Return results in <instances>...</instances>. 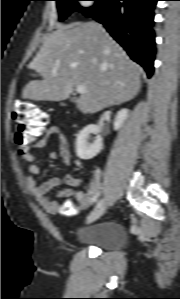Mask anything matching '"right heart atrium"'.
I'll use <instances>...</instances> for the list:
<instances>
[{
  "mask_svg": "<svg viewBox=\"0 0 180 299\" xmlns=\"http://www.w3.org/2000/svg\"><path fill=\"white\" fill-rule=\"evenodd\" d=\"M82 5H83L84 7H86V8H88V7H90V5H91V1L83 0V1H82Z\"/></svg>",
  "mask_w": 180,
  "mask_h": 299,
  "instance_id": "obj_1",
  "label": "right heart atrium"
}]
</instances>
